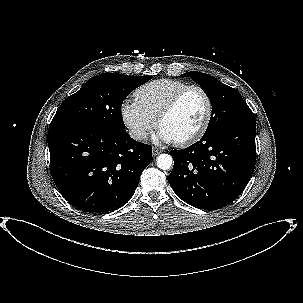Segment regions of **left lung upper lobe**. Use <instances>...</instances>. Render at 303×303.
Here are the masks:
<instances>
[{
    "label": "left lung upper lobe",
    "mask_w": 303,
    "mask_h": 303,
    "mask_svg": "<svg viewBox=\"0 0 303 303\" xmlns=\"http://www.w3.org/2000/svg\"><path fill=\"white\" fill-rule=\"evenodd\" d=\"M197 82L212 104V117L205 134L223 127L255 122L253 112L243 101L240 93L232 87L219 82L215 77L191 71L183 74Z\"/></svg>",
    "instance_id": "5c2ea615"
}]
</instances>
